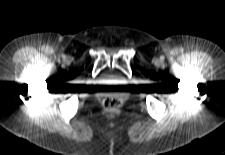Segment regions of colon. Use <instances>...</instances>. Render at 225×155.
<instances>
[{"label": "colon", "instance_id": "colon-1", "mask_svg": "<svg viewBox=\"0 0 225 155\" xmlns=\"http://www.w3.org/2000/svg\"><path fill=\"white\" fill-rule=\"evenodd\" d=\"M104 106L108 110H115L120 106V101L119 99L113 97L106 98L104 100Z\"/></svg>", "mask_w": 225, "mask_h": 155}]
</instances>
